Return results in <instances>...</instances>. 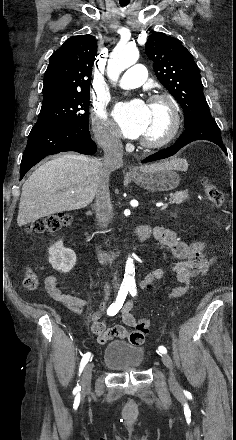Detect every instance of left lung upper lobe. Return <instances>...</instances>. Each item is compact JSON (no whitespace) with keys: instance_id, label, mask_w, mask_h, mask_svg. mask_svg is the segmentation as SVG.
<instances>
[{"instance_id":"obj_1","label":"left lung upper lobe","mask_w":236,"mask_h":440,"mask_svg":"<svg viewBox=\"0 0 236 440\" xmlns=\"http://www.w3.org/2000/svg\"><path fill=\"white\" fill-rule=\"evenodd\" d=\"M145 49L153 61L158 80L181 105L185 128L200 117L210 114L199 68L181 42L164 33L155 32L148 38Z\"/></svg>"}]
</instances>
